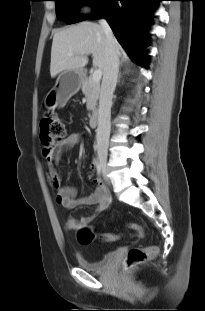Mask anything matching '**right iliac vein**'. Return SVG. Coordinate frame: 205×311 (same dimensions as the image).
Listing matches in <instances>:
<instances>
[{
  "mask_svg": "<svg viewBox=\"0 0 205 311\" xmlns=\"http://www.w3.org/2000/svg\"><path fill=\"white\" fill-rule=\"evenodd\" d=\"M98 159L102 165L103 174L107 176L108 174V166H107V152L106 148L103 146H99L97 149Z\"/></svg>",
  "mask_w": 205,
  "mask_h": 311,
  "instance_id": "obj_1",
  "label": "right iliac vein"
}]
</instances>
